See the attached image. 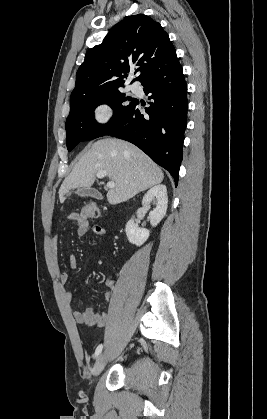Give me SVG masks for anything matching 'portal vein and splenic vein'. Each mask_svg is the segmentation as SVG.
<instances>
[{
	"instance_id": "portal-vein-and-splenic-vein-1",
	"label": "portal vein and splenic vein",
	"mask_w": 267,
	"mask_h": 419,
	"mask_svg": "<svg viewBox=\"0 0 267 419\" xmlns=\"http://www.w3.org/2000/svg\"><path fill=\"white\" fill-rule=\"evenodd\" d=\"M96 176H97L98 178H104V177H106V176H107V173H106L105 171H99V172L96 174ZM107 187H108V188H114V187H115V183H114L113 181H109V182H107Z\"/></svg>"
}]
</instances>
